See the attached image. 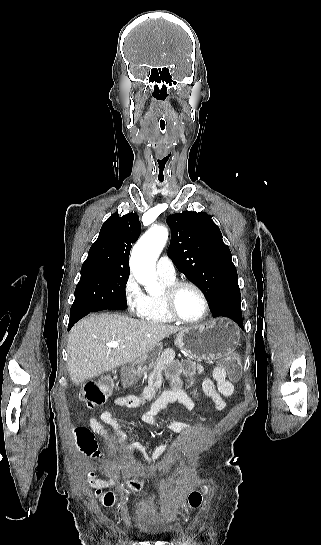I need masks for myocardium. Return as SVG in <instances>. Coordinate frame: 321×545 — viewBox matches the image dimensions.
<instances>
[{"mask_svg": "<svg viewBox=\"0 0 321 545\" xmlns=\"http://www.w3.org/2000/svg\"><path fill=\"white\" fill-rule=\"evenodd\" d=\"M185 288L194 289L199 294L203 302V307H204L203 314L198 319L193 321L182 319L178 315L175 309V304H174L175 298L177 294ZM159 300L161 302V305L165 313L168 315V317L173 322L179 325L189 326V327L199 326L205 322V320L208 318L210 313V303L206 293L203 291V289L200 286L190 281H178L172 284H165L163 286V296Z\"/></svg>", "mask_w": 321, "mask_h": 545, "instance_id": "obj_1", "label": "myocardium"}]
</instances>
